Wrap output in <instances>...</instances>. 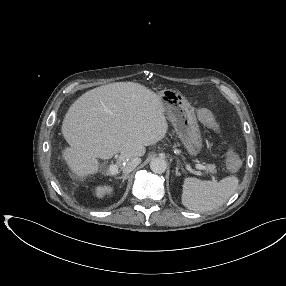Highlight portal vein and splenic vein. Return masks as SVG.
<instances>
[{
	"label": "portal vein and splenic vein",
	"instance_id": "1",
	"mask_svg": "<svg viewBox=\"0 0 286 286\" xmlns=\"http://www.w3.org/2000/svg\"><path fill=\"white\" fill-rule=\"evenodd\" d=\"M195 167L199 170H206L207 169V167L202 165V164H196ZM117 171H118L117 165H110L109 172L111 174H115Z\"/></svg>",
	"mask_w": 286,
	"mask_h": 286
}]
</instances>
